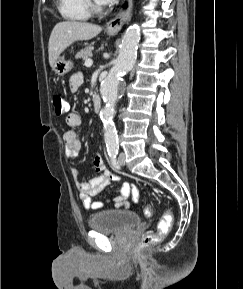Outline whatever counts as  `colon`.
Here are the masks:
<instances>
[{
	"mask_svg": "<svg viewBox=\"0 0 243 289\" xmlns=\"http://www.w3.org/2000/svg\"><path fill=\"white\" fill-rule=\"evenodd\" d=\"M55 114L57 116H62L66 112V102L64 98L60 95H55L52 99ZM144 214L146 216H151L153 214V209L151 206H146L144 208ZM173 222V216L170 211H166L158 223L157 230L145 234L140 240V247L146 248L152 246L159 242L164 236L168 234L171 229Z\"/></svg>",
	"mask_w": 243,
	"mask_h": 289,
	"instance_id": "obj_1",
	"label": "colon"
}]
</instances>
